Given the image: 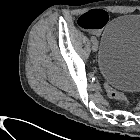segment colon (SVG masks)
Here are the masks:
<instances>
[{
  "instance_id": "obj_1",
  "label": "colon",
  "mask_w": 140,
  "mask_h": 140,
  "mask_svg": "<svg viewBox=\"0 0 140 140\" xmlns=\"http://www.w3.org/2000/svg\"><path fill=\"white\" fill-rule=\"evenodd\" d=\"M84 16L85 15H83L81 18H83ZM105 90H106V93L109 98L116 100V101H120L125 104L128 103L127 97L122 92H120L119 90L114 88L113 86L106 84Z\"/></svg>"
}]
</instances>
